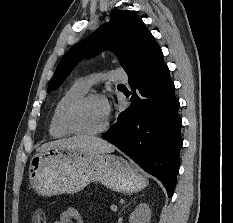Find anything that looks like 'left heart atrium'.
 <instances>
[{
	"instance_id": "1",
	"label": "left heart atrium",
	"mask_w": 233,
	"mask_h": 223,
	"mask_svg": "<svg viewBox=\"0 0 233 223\" xmlns=\"http://www.w3.org/2000/svg\"><path fill=\"white\" fill-rule=\"evenodd\" d=\"M102 113L105 119H109L112 114V105L110 101L106 98H102Z\"/></svg>"
}]
</instances>
